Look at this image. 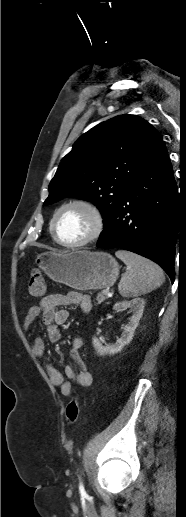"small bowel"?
Returning <instances> with one entry per match:
<instances>
[{"label":"small bowel","mask_w":186,"mask_h":517,"mask_svg":"<svg viewBox=\"0 0 186 517\" xmlns=\"http://www.w3.org/2000/svg\"><path fill=\"white\" fill-rule=\"evenodd\" d=\"M71 305H79L84 312H89L92 308L90 297L80 292L72 291L67 294L47 295L42 298L38 305L30 307L25 316L23 327L25 330H29L38 317L42 316L47 327L48 340L51 343H57L61 339V332L58 326L67 322L69 318V311L59 307ZM82 346V337L74 336L70 347V355L78 364L80 368L79 372H77L73 366L67 365L64 368V377L52 365L47 364L45 366L51 384L59 387L64 396H70L73 393L74 383L83 387H89L93 382L91 372L87 369L79 355V350ZM32 350L38 357L44 355L45 343L41 337L37 336L34 338Z\"/></svg>","instance_id":"c3829d8e"}]
</instances>
